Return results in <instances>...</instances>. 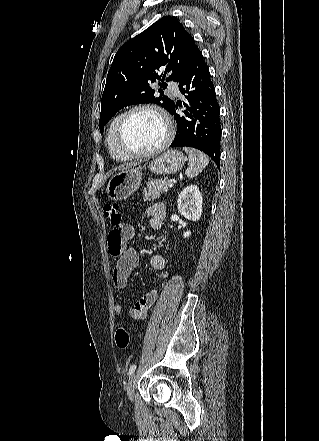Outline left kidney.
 I'll return each mask as SVG.
<instances>
[{
    "label": "left kidney",
    "instance_id": "5707ae66",
    "mask_svg": "<svg viewBox=\"0 0 319 441\" xmlns=\"http://www.w3.org/2000/svg\"><path fill=\"white\" fill-rule=\"evenodd\" d=\"M202 195L197 185H189L179 194L177 207L179 212L188 220L197 221L202 215ZM191 235L190 231L183 233L184 238Z\"/></svg>",
    "mask_w": 319,
    "mask_h": 441
}]
</instances>
